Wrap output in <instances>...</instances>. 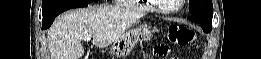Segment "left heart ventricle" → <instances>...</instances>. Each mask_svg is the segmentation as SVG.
<instances>
[{"mask_svg": "<svg viewBox=\"0 0 261 59\" xmlns=\"http://www.w3.org/2000/svg\"><path fill=\"white\" fill-rule=\"evenodd\" d=\"M157 4L162 8L172 9L178 6L179 0H159Z\"/></svg>", "mask_w": 261, "mask_h": 59, "instance_id": "left-heart-ventricle-1", "label": "left heart ventricle"}]
</instances>
